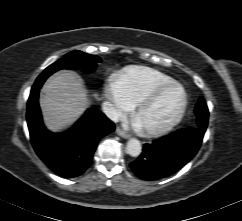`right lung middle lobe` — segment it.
Here are the masks:
<instances>
[{"label": "right lung middle lobe", "instance_id": "right-lung-middle-lobe-1", "mask_svg": "<svg viewBox=\"0 0 242 221\" xmlns=\"http://www.w3.org/2000/svg\"><path fill=\"white\" fill-rule=\"evenodd\" d=\"M98 62H100V58L95 55L81 51H72L47 67L37 78L33 86L42 85L47 77L60 69H81L85 72H93Z\"/></svg>", "mask_w": 242, "mask_h": 221}]
</instances>
